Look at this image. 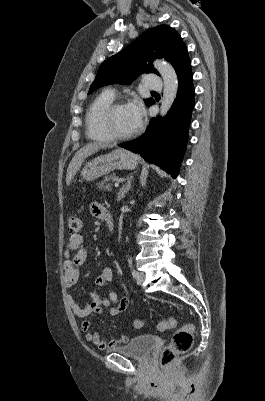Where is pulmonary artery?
<instances>
[{"label":"pulmonary artery","mask_w":265,"mask_h":401,"mask_svg":"<svg viewBox=\"0 0 265 401\" xmlns=\"http://www.w3.org/2000/svg\"><path fill=\"white\" fill-rule=\"evenodd\" d=\"M146 81L148 90H162L164 88L162 75H148Z\"/></svg>","instance_id":"e3ab8cb5"}]
</instances>
